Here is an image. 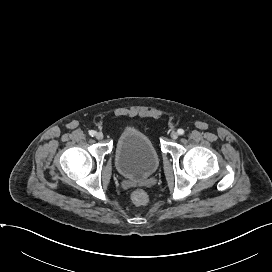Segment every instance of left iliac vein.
<instances>
[{
  "mask_svg": "<svg viewBox=\"0 0 272 272\" xmlns=\"http://www.w3.org/2000/svg\"><path fill=\"white\" fill-rule=\"evenodd\" d=\"M171 138L174 139V140L177 139L178 138V133L177 132H172L171 133Z\"/></svg>",
  "mask_w": 272,
  "mask_h": 272,
  "instance_id": "1",
  "label": "left iliac vein"
}]
</instances>
